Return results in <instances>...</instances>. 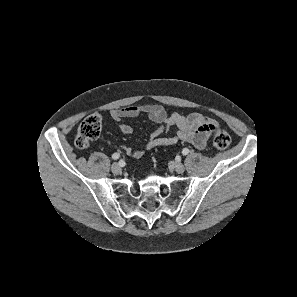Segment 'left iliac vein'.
<instances>
[{
	"label": "left iliac vein",
	"instance_id": "4c4485c4",
	"mask_svg": "<svg viewBox=\"0 0 297 297\" xmlns=\"http://www.w3.org/2000/svg\"><path fill=\"white\" fill-rule=\"evenodd\" d=\"M172 166L177 173H183L185 171L184 165L179 162H172Z\"/></svg>",
	"mask_w": 297,
	"mask_h": 297
}]
</instances>
